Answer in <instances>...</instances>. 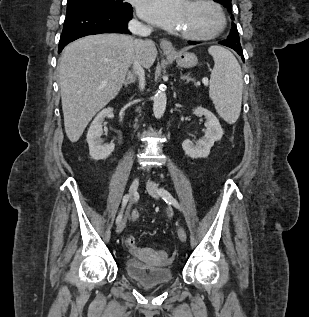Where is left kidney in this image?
Segmentation results:
<instances>
[{"label": "left kidney", "mask_w": 309, "mask_h": 317, "mask_svg": "<svg viewBox=\"0 0 309 317\" xmlns=\"http://www.w3.org/2000/svg\"><path fill=\"white\" fill-rule=\"evenodd\" d=\"M194 114L205 116V126L207 128L205 135L195 144L189 139L184 140L182 148L191 158H205L209 155L210 149L214 143L222 138L223 130L217 117L207 109L197 107L194 110Z\"/></svg>", "instance_id": "1"}]
</instances>
